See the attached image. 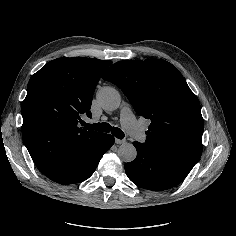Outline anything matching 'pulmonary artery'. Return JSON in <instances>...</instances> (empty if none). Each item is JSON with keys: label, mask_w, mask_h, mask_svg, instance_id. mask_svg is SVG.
Instances as JSON below:
<instances>
[{"label": "pulmonary artery", "mask_w": 236, "mask_h": 236, "mask_svg": "<svg viewBox=\"0 0 236 236\" xmlns=\"http://www.w3.org/2000/svg\"><path fill=\"white\" fill-rule=\"evenodd\" d=\"M121 121L123 127L131 134V137L135 142H142L144 140V132L139 124L134 121V116L131 114V108L129 106H122L120 108Z\"/></svg>", "instance_id": "e3ab8cb5"}]
</instances>
